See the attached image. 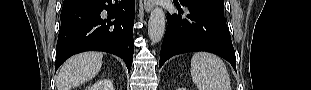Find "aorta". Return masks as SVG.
I'll list each match as a JSON object with an SVG mask.
<instances>
[{
	"label": "aorta",
	"instance_id": "obj_1",
	"mask_svg": "<svg viewBox=\"0 0 311 90\" xmlns=\"http://www.w3.org/2000/svg\"><path fill=\"white\" fill-rule=\"evenodd\" d=\"M165 13L162 8L156 7L152 10L148 21V35L152 43L162 40L165 32Z\"/></svg>",
	"mask_w": 311,
	"mask_h": 90
}]
</instances>
